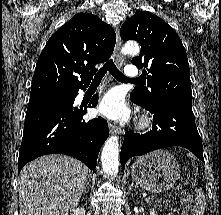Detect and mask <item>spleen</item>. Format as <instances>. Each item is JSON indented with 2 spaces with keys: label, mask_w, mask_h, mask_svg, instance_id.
Instances as JSON below:
<instances>
[{
  "label": "spleen",
  "mask_w": 221,
  "mask_h": 215,
  "mask_svg": "<svg viewBox=\"0 0 221 215\" xmlns=\"http://www.w3.org/2000/svg\"><path fill=\"white\" fill-rule=\"evenodd\" d=\"M205 197L201 190L196 191V208L199 212H203L205 208Z\"/></svg>",
  "instance_id": "1"
}]
</instances>
